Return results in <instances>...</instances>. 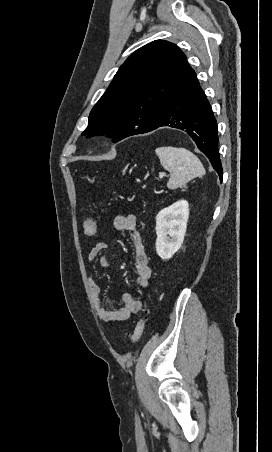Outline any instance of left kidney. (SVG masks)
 <instances>
[{
  "label": "left kidney",
  "mask_w": 272,
  "mask_h": 452,
  "mask_svg": "<svg viewBox=\"0 0 272 452\" xmlns=\"http://www.w3.org/2000/svg\"><path fill=\"white\" fill-rule=\"evenodd\" d=\"M188 218L189 204L186 200H179L157 214L156 252L161 259H170L180 249Z\"/></svg>",
  "instance_id": "5707ae66"
}]
</instances>
